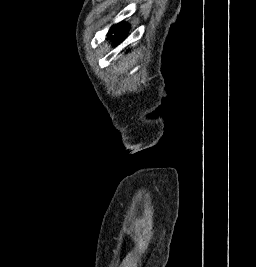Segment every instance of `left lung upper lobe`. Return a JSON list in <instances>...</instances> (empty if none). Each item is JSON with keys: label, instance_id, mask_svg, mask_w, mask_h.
I'll return each mask as SVG.
<instances>
[{"label": "left lung upper lobe", "instance_id": "obj_1", "mask_svg": "<svg viewBox=\"0 0 256 267\" xmlns=\"http://www.w3.org/2000/svg\"><path fill=\"white\" fill-rule=\"evenodd\" d=\"M126 29H127V25L124 23H120L114 27L111 28V30L109 31V36H111V33H116L115 36H111L115 39V42H120L122 39H124L126 37Z\"/></svg>", "mask_w": 256, "mask_h": 267}]
</instances>
